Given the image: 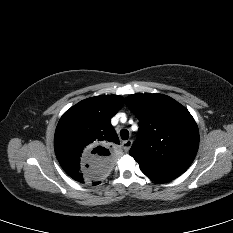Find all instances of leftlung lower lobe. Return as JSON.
Here are the masks:
<instances>
[{
  "label": "left lung lower lobe",
  "instance_id": "obj_1",
  "mask_svg": "<svg viewBox=\"0 0 233 233\" xmlns=\"http://www.w3.org/2000/svg\"><path fill=\"white\" fill-rule=\"evenodd\" d=\"M141 170L151 180L160 182V183L171 181L182 174V173H176V172L154 171V170H148V169H143V168H141Z\"/></svg>",
  "mask_w": 233,
  "mask_h": 233
}]
</instances>
